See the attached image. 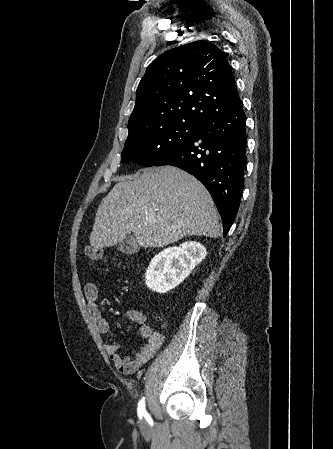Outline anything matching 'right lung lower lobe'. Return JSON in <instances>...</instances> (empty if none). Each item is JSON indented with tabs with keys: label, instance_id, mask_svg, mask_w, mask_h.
I'll use <instances>...</instances> for the list:
<instances>
[{
	"label": "right lung lower lobe",
	"instance_id": "obj_1",
	"mask_svg": "<svg viewBox=\"0 0 333 449\" xmlns=\"http://www.w3.org/2000/svg\"><path fill=\"white\" fill-rule=\"evenodd\" d=\"M246 116L241 100L205 119L195 134L155 166L172 165L194 175L210 192L226 236L244 185Z\"/></svg>",
	"mask_w": 333,
	"mask_h": 449
}]
</instances>
